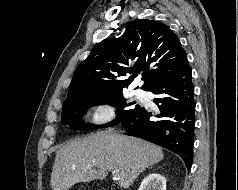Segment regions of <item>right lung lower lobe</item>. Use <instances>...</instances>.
I'll return each mask as SVG.
<instances>
[{
	"label": "right lung lower lobe",
	"mask_w": 238,
	"mask_h": 190,
	"mask_svg": "<svg viewBox=\"0 0 238 190\" xmlns=\"http://www.w3.org/2000/svg\"><path fill=\"white\" fill-rule=\"evenodd\" d=\"M191 74L187 60L180 71L148 90L158 95L153 102L159 113L141 107L119 122L127 132L177 153L188 169L193 161L195 125Z\"/></svg>",
	"instance_id": "98d812e1"
}]
</instances>
